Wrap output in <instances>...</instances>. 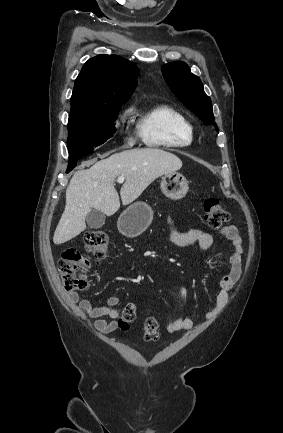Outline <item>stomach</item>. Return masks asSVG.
I'll return each mask as SVG.
<instances>
[{"mask_svg": "<svg viewBox=\"0 0 283 433\" xmlns=\"http://www.w3.org/2000/svg\"><path fill=\"white\" fill-rule=\"evenodd\" d=\"M161 190L168 198L178 200L188 192L187 178L179 172L164 174L160 182ZM153 219V210L146 202H133L121 212L118 229L125 237H138L146 229V221Z\"/></svg>", "mask_w": 283, "mask_h": 433, "instance_id": "stomach-1", "label": "stomach"}]
</instances>
